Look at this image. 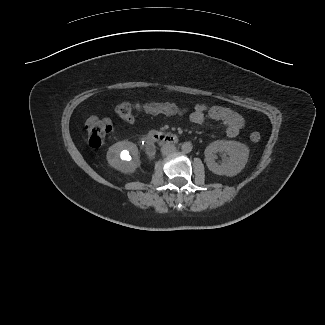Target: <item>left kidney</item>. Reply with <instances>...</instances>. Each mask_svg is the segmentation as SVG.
<instances>
[{
  "label": "left kidney",
  "mask_w": 325,
  "mask_h": 325,
  "mask_svg": "<svg viewBox=\"0 0 325 325\" xmlns=\"http://www.w3.org/2000/svg\"><path fill=\"white\" fill-rule=\"evenodd\" d=\"M217 152H224L229 155V158L218 164L215 161ZM204 154L210 171L217 175L232 177L245 168L249 157V148L237 141L216 140L206 147Z\"/></svg>",
  "instance_id": "1"
}]
</instances>
